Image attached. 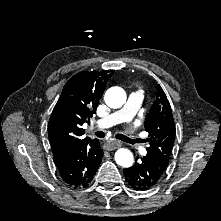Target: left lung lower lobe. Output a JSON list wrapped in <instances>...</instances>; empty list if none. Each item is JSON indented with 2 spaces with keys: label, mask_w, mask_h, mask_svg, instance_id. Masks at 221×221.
I'll use <instances>...</instances> for the list:
<instances>
[{
  "label": "left lung lower lobe",
  "mask_w": 221,
  "mask_h": 221,
  "mask_svg": "<svg viewBox=\"0 0 221 221\" xmlns=\"http://www.w3.org/2000/svg\"><path fill=\"white\" fill-rule=\"evenodd\" d=\"M141 160L142 162L136 161L132 167L124 169L127 183L136 191H145L158 184L168 166L149 155Z\"/></svg>",
  "instance_id": "1"
}]
</instances>
